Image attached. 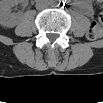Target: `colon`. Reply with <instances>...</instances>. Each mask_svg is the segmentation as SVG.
<instances>
[{"label":"colon","instance_id":"5ec220e1","mask_svg":"<svg viewBox=\"0 0 103 103\" xmlns=\"http://www.w3.org/2000/svg\"><path fill=\"white\" fill-rule=\"evenodd\" d=\"M103 34V14H100L97 19H95L87 32V37L90 40L99 39Z\"/></svg>","mask_w":103,"mask_h":103}]
</instances>
